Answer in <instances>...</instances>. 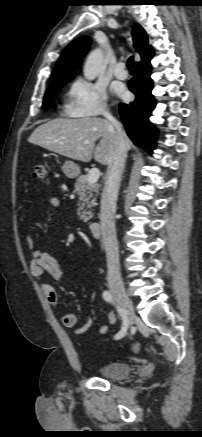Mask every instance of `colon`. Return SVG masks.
Instances as JSON below:
<instances>
[{
    "label": "colon",
    "instance_id": "1",
    "mask_svg": "<svg viewBox=\"0 0 202 437\" xmlns=\"http://www.w3.org/2000/svg\"><path fill=\"white\" fill-rule=\"evenodd\" d=\"M33 177L36 179H44L46 177V167L43 163L37 162L33 167ZM133 351H138L139 345L134 344L132 346Z\"/></svg>",
    "mask_w": 202,
    "mask_h": 437
}]
</instances>
